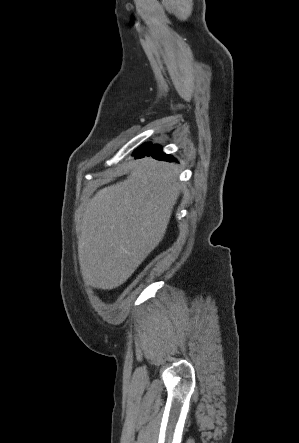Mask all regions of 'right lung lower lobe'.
<instances>
[{"instance_id": "obj_1", "label": "right lung lower lobe", "mask_w": 299, "mask_h": 443, "mask_svg": "<svg viewBox=\"0 0 299 443\" xmlns=\"http://www.w3.org/2000/svg\"><path fill=\"white\" fill-rule=\"evenodd\" d=\"M135 158H143L146 156H152L155 159L158 160H165V161H173L174 158L171 155H167L163 153L162 149L158 145H150L149 143H146L139 147L133 154Z\"/></svg>"}]
</instances>
